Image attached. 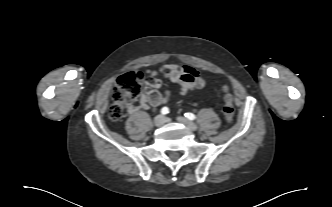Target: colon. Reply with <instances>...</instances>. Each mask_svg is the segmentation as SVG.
Listing matches in <instances>:
<instances>
[{"label":"colon","mask_w":332,"mask_h":207,"mask_svg":"<svg viewBox=\"0 0 332 207\" xmlns=\"http://www.w3.org/2000/svg\"><path fill=\"white\" fill-rule=\"evenodd\" d=\"M168 75V72H165ZM143 75L139 71L128 72L118 78L113 88V102L109 109L111 120H120L126 111L127 105L132 102L142 91ZM224 105L223 115L227 122L231 123L234 117L233 97L227 86L222 87Z\"/></svg>","instance_id":"colon-1"}]
</instances>
